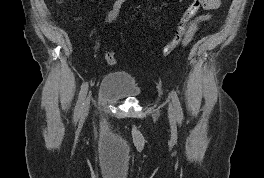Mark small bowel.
I'll use <instances>...</instances> for the list:
<instances>
[{"instance_id": "1", "label": "small bowel", "mask_w": 264, "mask_h": 178, "mask_svg": "<svg viewBox=\"0 0 264 178\" xmlns=\"http://www.w3.org/2000/svg\"><path fill=\"white\" fill-rule=\"evenodd\" d=\"M208 4L204 8L207 11L215 10L219 8L221 4V0H207ZM127 2V0H116L112 6V8L108 11V13L105 16V21L106 22H112L114 21L117 16L120 14L121 9L123 5ZM210 18V14H200L195 17L194 19V26L197 28L198 24L202 21H205Z\"/></svg>"}]
</instances>
